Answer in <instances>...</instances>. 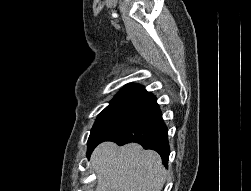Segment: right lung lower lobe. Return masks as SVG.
Wrapping results in <instances>:
<instances>
[{"label":"right lung lower lobe","instance_id":"obj_1","mask_svg":"<svg viewBox=\"0 0 251 191\" xmlns=\"http://www.w3.org/2000/svg\"><path fill=\"white\" fill-rule=\"evenodd\" d=\"M107 141H113L120 146L136 142L144 149L156 151L161 156L163 164L165 166L168 164L170 154L168 130L156 102Z\"/></svg>","mask_w":251,"mask_h":191}]
</instances>
